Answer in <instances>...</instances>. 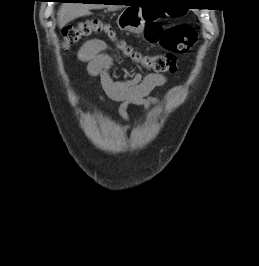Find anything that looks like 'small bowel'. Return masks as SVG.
Listing matches in <instances>:
<instances>
[{
  "label": "small bowel",
  "mask_w": 259,
  "mask_h": 266,
  "mask_svg": "<svg viewBox=\"0 0 259 266\" xmlns=\"http://www.w3.org/2000/svg\"><path fill=\"white\" fill-rule=\"evenodd\" d=\"M79 57L86 63L88 73L100 78L106 97L119 103L118 113L126 122H130V105L149 109L172 99L179 92V87H175L163 97L154 93L157 87L167 81L162 74L151 73L143 76L138 73L125 80H115L111 75L113 57L106 53V44L102 40L93 39L86 42L80 50Z\"/></svg>",
  "instance_id": "small-bowel-1"
}]
</instances>
